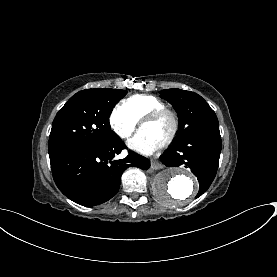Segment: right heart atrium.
<instances>
[{
  "instance_id": "obj_1",
  "label": "right heart atrium",
  "mask_w": 277,
  "mask_h": 277,
  "mask_svg": "<svg viewBox=\"0 0 277 277\" xmlns=\"http://www.w3.org/2000/svg\"><path fill=\"white\" fill-rule=\"evenodd\" d=\"M138 121L123 107L118 106L110 116V125L121 139H128L134 133Z\"/></svg>"
}]
</instances>
